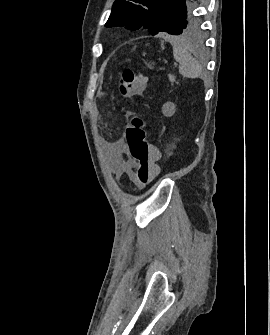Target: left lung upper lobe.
I'll list each match as a JSON object with an SVG mask.
<instances>
[{
	"mask_svg": "<svg viewBox=\"0 0 270 335\" xmlns=\"http://www.w3.org/2000/svg\"><path fill=\"white\" fill-rule=\"evenodd\" d=\"M113 26L143 27L153 35L187 36L198 30L199 23L187 0H116L105 24Z\"/></svg>",
	"mask_w": 270,
	"mask_h": 335,
	"instance_id": "left-lung-upper-lobe-1",
	"label": "left lung upper lobe"
}]
</instances>
